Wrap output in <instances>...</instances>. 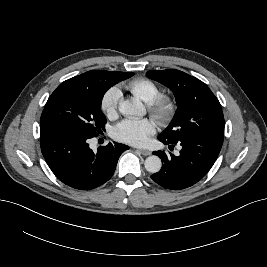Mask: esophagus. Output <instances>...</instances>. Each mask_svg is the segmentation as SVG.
Here are the masks:
<instances>
[{
	"instance_id": "obj_1",
	"label": "esophagus",
	"mask_w": 267,
	"mask_h": 267,
	"mask_svg": "<svg viewBox=\"0 0 267 267\" xmlns=\"http://www.w3.org/2000/svg\"><path fill=\"white\" fill-rule=\"evenodd\" d=\"M137 151H139L144 156H148L151 154V152L149 150H146V149H138Z\"/></svg>"
}]
</instances>
